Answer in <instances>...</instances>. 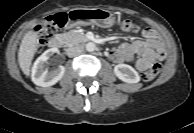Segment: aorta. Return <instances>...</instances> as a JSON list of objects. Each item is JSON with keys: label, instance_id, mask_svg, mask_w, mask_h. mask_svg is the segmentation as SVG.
Masks as SVG:
<instances>
[{"label": "aorta", "instance_id": "aorta-1", "mask_svg": "<svg viewBox=\"0 0 194 133\" xmlns=\"http://www.w3.org/2000/svg\"><path fill=\"white\" fill-rule=\"evenodd\" d=\"M85 48L88 52H93L95 50V44L92 42H89L86 44Z\"/></svg>", "mask_w": 194, "mask_h": 133}]
</instances>
